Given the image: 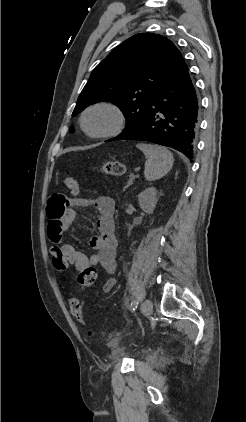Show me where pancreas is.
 Instances as JSON below:
<instances>
[{"label":"pancreas","instance_id":"obj_1","mask_svg":"<svg viewBox=\"0 0 246 422\" xmlns=\"http://www.w3.org/2000/svg\"><path fill=\"white\" fill-rule=\"evenodd\" d=\"M132 176H133V175H130V178H129V181H128V183H127L126 187H129L130 185H132V183H133Z\"/></svg>","mask_w":246,"mask_h":422}]
</instances>
